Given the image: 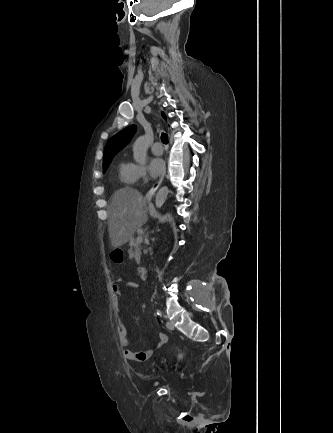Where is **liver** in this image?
Segmentation results:
<instances>
[{
	"label": "liver",
	"instance_id": "obj_1",
	"mask_svg": "<svg viewBox=\"0 0 333 433\" xmlns=\"http://www.w3.org/2000/svg\"><path fill=\"white\" fill-rule=\"evenodd\" d=\"M142 194L131 187L117 190L107 208L108 229L113 248L126 244L148 220Z\"/></svg>",
	"mask_w": 333,
	"mask_h": 433
}]
</instances>
